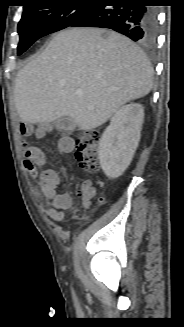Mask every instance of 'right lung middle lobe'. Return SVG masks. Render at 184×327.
I'll use <instances>...</instances> for the list:
<instances>
[{
  "label": "right lung middle lobe",
  "instance_id": "right-lung-middle-lobe-1",
  "mask_svg": "<svg viewBox=\"0 0 184 327\" xmlns=\"http://www.w3.org/2000/svg\"><path fill=\"white\" fill-rule=\"evenodd\" d=\"M46 3L48 1L23 8L22 18L18 24L20 36L18 55L40 37L71 26L93 7L92 5H47Z\"/></svg>",
  "mask_w": 184,
  "mask_h": 327
}]
</instances>
